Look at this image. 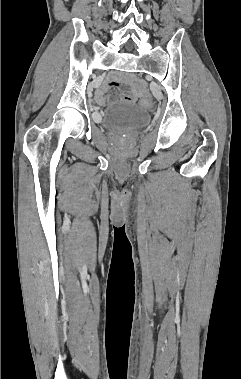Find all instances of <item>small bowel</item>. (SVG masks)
Here are the masks:
<instances>
[{"label": "small bowel", "mask_w": 241, "mask_h": 379, "mask_svg": "<svg viewBox=\"0 0 241 379\" xmlns=\"http://www.w3.org/2000/svg\"><path fill=\"white\" fill-rule=\"evenodd\" d=\"M124 85H125L124 83H121V82L113 80V79L107 80L104 83V85L96 91V100H97L98 104L105 105V103H106L105 94H106L108 89H110L111 87H114V86H124ZM123 99L129 103H134L137 100L135 96L128 95V94H125L123 96Z\"/></svg>", "instance_id": "c3829d8e"}]
</instances>
